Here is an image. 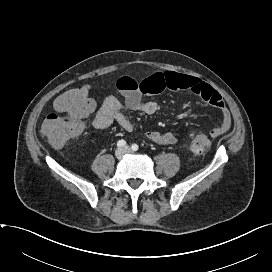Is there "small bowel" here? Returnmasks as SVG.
<instances>
[{
    "mask_svg": "<svg viewBox=\"0 0 272 272\" xmlns=\"http://www.w3.org/2000/svg\"><path fill=\"white\" fill-rule=\"evenodd\" d=\"M117 89L125 99V106L131 110L152 115L160 110L158 103L144 98L145 95L161 93L165 90H187L209 105L220 111L221 123L211 130L212 137H218L227 132L231 126V117L221 95L209 84L193 76L172 71L150 73L140 80L131 76H122L116 82ZM117 123L124 130L133 129L132 122L123 113V104L115 96H107L95 113L93 126L97 129H106ZM146 137L160 145H173L177 137L172 132L161 133L149 131Z\"/></svg>",
    "mask_w": 272,
    "mask_h": 272,
    "instance_id": "small-bowel-1",
    "label": "small bowel"
}]
</instances>
